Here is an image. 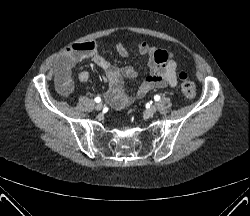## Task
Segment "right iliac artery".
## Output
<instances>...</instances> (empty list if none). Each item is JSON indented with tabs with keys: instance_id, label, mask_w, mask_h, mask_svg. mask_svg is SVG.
<instances>
[{
	"instance_id": "1",
	"label": "right iliac artery",
	"mask_w": 250,
	"mask_h": 216,
	"mask_svg": "<svg viewBox=\"0 0 250 216\" xmlns=\"http://www.w3.org/2000/svg\"><path fill=\"white\" fill-rule=\"evenodd\" d=\"M101 101V98L100 97H96L95 98V102L99 103Z\"/></svg>"
}]
</instances>
